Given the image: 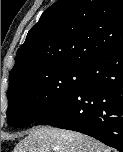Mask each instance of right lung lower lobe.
I'll list each match as a JSON object with an SVG mask.
<instances>
[{
    "label": "right lung lower lobe",
    "mask_w": 123,
    "mask_h": 152,
    "mask_svg": "<svg viewBox=\"0 0 123 152\" xmlns=\"http://www.w3.org/2000/svg\"><path fill=\"white\" fill-rule=\"evenodd\" d=\"M35 125L81 132L123 152V44L91 61L78 89Z\"/></svg>",
    "instance_id": "right-lung-lower-lobe-1"
}]
</instances>
